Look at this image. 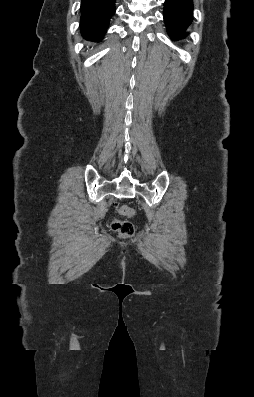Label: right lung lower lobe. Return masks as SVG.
<instances>
[{"mask_svg":"<svg viewBox=\"0 0 254 397\" xmlns=\"http://www.w3.org/2000/svg\"><path fill=\"white\" fill-rule=\"evenodd\" d=\"M115 13V0H82L80 30L90 41H101Z\"/></svg>","mask_w":254,"mask_h":397,"instance_id":"right-lung-lower-lobe-1","label":"right lung lower lobe"}]
</instances>
